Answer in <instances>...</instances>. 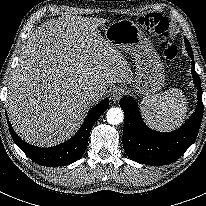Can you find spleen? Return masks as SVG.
I'll return each instance as SVG.
<instances>
[{
    "mask_svg": "<svg viewBox=\"0 0 206 206\" xmlns=\"http://www.w3.org/2000/svg\"><path fill=\"white\" fill-rule=\"evenodd\" d=\"M141 104L145 122L161 131L177 128L184 121L187 112L186 98L182 91L176 88L146 96Z\"/></svg>",
    "mask_w": 206,
    "mask_h": 206,
    "instance_id": "spleen-1",
    "label": "spleen"
}]
</instances>
